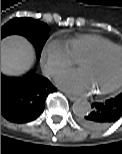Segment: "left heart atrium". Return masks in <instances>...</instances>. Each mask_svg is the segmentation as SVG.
Instances as JSON below:
<instances>
[{
	"mask_svg": "<svg viewBox=\"0 0 122 154\" xmlns=\"http://www.w3.org/2000/svg\"><path fill=\"white\" fill-rule=\"evenodd\" d=\"M55 81L64 90L78 95H86L92 91L83 71L66 70L59 73Z\"/></svg>",
	"mask_w": 122,
	"mask_h": 154,
	"instance_id": "left-heart-atrium-1",
	"label": "left heart atrium"
}]
</instances>
